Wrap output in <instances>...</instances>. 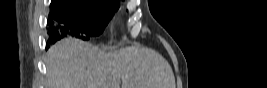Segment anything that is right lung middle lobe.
<instances>
[{"mask_svg": "<svg viewBox=\"0 0 267 88\" xmlns=\"http://www.w3.org/2000/svg\"><path fill=\"white\" fill-rule=\"evenodd\" d=\"M119 7V1L114 0H52L49 21L66 24L75 37L88 40L104 31ZM48 34L50 40L56 36L51 31Z\"/></svg>", "mask_w": 267, "mask_h": 88, "instance_id": "obj_1", "label": "right lung middle lobe"}]
</instances>
